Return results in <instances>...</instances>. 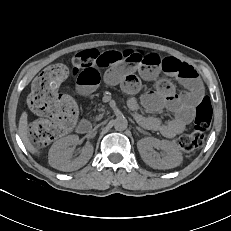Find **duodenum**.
I'll list each match as a JSON object with an SVG mask.
<instances>
[{"label":"duodenum","instance_id":"duodenum-1","mask_svg":"<svg viewBox=\"0 0 231 231\" xmlns=\"http://www.w3.org/2000/svg\"><path fill=\"white\" fill-rule=\"evenodd\" d=\"M91 130V123L88 120H82L77 126L79 134H87Z\"/></svg>","mask_w":231,"mask_h":231}]
</instances>
